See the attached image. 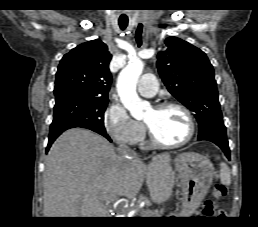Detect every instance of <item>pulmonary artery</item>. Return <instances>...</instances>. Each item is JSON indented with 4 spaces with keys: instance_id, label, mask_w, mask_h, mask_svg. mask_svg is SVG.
Masks as SVG:
<instances>
[{
    "instance_id": "pulmonary-artery-1",
    "label": "pulmonary artery",
    "mask_w": 258,
    "mask_h": 227,
    "mask_svg": "<svg viewBox=\"0 0 258 227\" xmlns=\"http://www.w3.org/2000/svg\"><path fill=\"white\" fill-rule=\"evenodd\" d=\"M138 92L145 97H153L157 93L158 83L157 79L152 74L143 75L137 86Z\"/></svg>"
}]
</instances>
